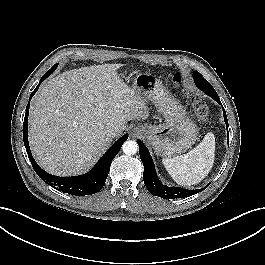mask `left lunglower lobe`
Returning <instances> with one entry per match:
<instances>
[{"label": "left lung lower lobe", "mask_w": 265, "mask_h": 265, "mask_svg": "<svg viewBox=\"0 0 265 265\" xmlns=\"http://www.w3.org/2000/svg\"><path fill=\"white\" fill-rule=\"evenodd\" d=\"M193 78L196 86L200 90H202L206 95L212 97L216 102L222 105L216 91L206 79L199 76H193ZM223 115L228 132V120L224 109H223ZM137 143L139 145L140 158L144 165L143 180L146 185V188L152 195L159 196L164 199L185 198L192 196L198 192H201L202 190L208 187L207 185L202 189L188 190L180 187H170L162 184L156 175L154 169V163L152 161L148 149L140 140H138Z\"/></svg>", "instance_id": "left-lung-lower-lobe-1"}]
</instances>
